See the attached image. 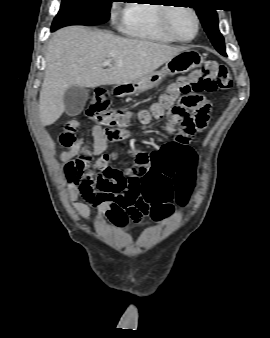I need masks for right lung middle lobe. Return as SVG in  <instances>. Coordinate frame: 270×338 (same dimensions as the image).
<instances>
[{
    "label": "right lung middle lobe",
    "instance_id": "1",
    "mask_svg": "<svg viewBox=\"0 0 270 338\" xmlns=\"http://www.w3.org/2000/svg\"><path fill=\"white\" fill-rule=\"evenodd\" d=\"M112 1L114 0H62L51 29L54 31L68 25L93 26L105 23L110 17Z\"/></svg>",
    "mask_w": 270,
    "mask_h": 338
}]
</instances>
